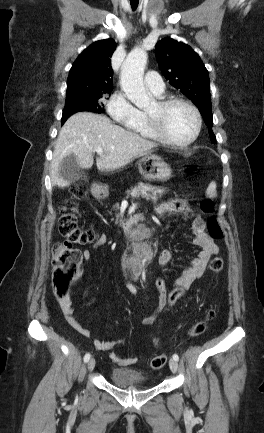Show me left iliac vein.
<instances>
[{"label": "left iliac vein", "instance_id": "4c4485c4", "mask_svg": "<svg viewBox=\"0 0 264 433\" xmlns=\"http://www.w3.org/2000/svg\"><path fill=\"white\" fill-rule=\"evenodd\" d=\"M169 366H170V369H171V371L173 372V373H176L177 372V370H178V363H177V361L176 360H174V359H170L169 360Z\"/></svg>", "mask_w": 264, "mask_h": 433}]
</instances>
